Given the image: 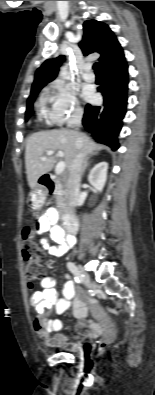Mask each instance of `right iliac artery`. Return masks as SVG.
<instances>
[{
  "label": "right iliac artery",
  "mask_w": 155,
  "mask_h": 395,
  "mask_svg": "<svg viewBox=\"0 0 155 395\" xmlns=\"http://www.w3.org/2000/svg\"><path fill=\"white\" fill-rule=\"evenodd\" d=\"M67 268L68 270L74 275L75 281L77 283H80L82 281V276L78 271V268L76 267V265L72 262H68L67 263Z\"/></svg>",
  "instance_id": "82829eb1"
}]
</instances>
